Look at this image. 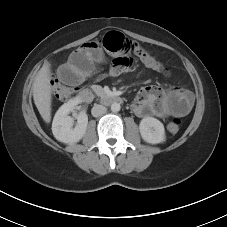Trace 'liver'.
<instances>
[{
  "label": "liver",
  "instance_id": "1",
  "mask_svg": "<svg viewBox=\"0 0 227 227\" xmlns=\"http://www.w3.org/2000/svg\"><path fill=\"white\" fill-rule=\"evenodd\" d=\"M34 103L46 123L51 121L52 89L50 86L49 64L45 63L33 83Z\"/></svg>",
  "mask_w": 227,
  "mask_h": 227
}]
</instances>
